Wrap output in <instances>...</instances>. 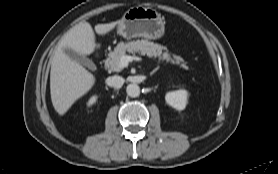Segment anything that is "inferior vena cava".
<instances>
[{"instance_id":"inferior-vena-cava-1","label":"inferior vena cava","mask_w":278,"mask_h":174,"mask_svg":"<svg viewBox=\"0 0 278 174\" xmlns=\"http://www.w3.org/2000/svg\"><path fill=\"white\" fill-rule=\"evenodd\" d=\"M125 80L121 76L114 75L109 78V85L115 89H119L123 86Z\"/></svg>"}]
</instances>
